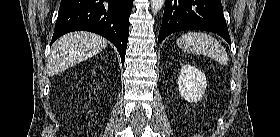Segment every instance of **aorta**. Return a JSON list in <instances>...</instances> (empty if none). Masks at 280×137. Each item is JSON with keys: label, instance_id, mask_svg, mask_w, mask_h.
Returning <instances> with one entry per match:
<instances>
[{"label": "aorta", "instance_id": "obj_1", "mask_svg": "<svg viewBox=\"0 0 280 137\" xmlns=\"http://www.w3.org/2000/svg\"><path fill=\"white\" fill-rule=\"evenodd\" d=\"M165 0H151V9L153 13H157L164 5Z\"/></svg>", "mask_w": 280, "mask_h": 137}]
</instances>
